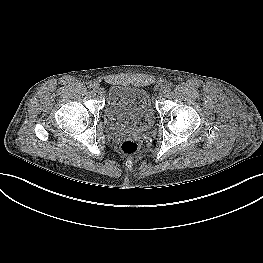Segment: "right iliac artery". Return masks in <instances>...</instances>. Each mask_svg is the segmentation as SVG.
I'll list each match as a JSON object with an SVG mask.
<instances>
[{
    "label": "right iliac artery",
    "instance_id": "right-iliac-artery-1",
    "mask_svg": "<svg viewBox=\"0 0 263 263\" xmlns=\"http://www.w3.org/2000/svg\"><path fill=\"white\" fill-rule=\"evenodd\" d=\"M90 88L92 89H95L97 87V84L95 82H92L90 85H89Z\"/></svg>",
    "mask_w": 263,
    "mask_h": 263
}]
</instances>
